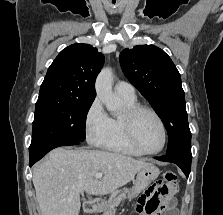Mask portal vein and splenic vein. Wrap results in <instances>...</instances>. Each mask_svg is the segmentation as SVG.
Wrapping results in <instances>:
<instances>
[{
	"mask_svg": "<svg viewBox=\"0 0 223 215\" xmlns=\"http://www.w3.org/2000/svg\"><path fill=\"white\" fill-rule=\"evenodd\" d=\"M103 173H96L95 177H102Z\"/></svg>",
	"mask_w": 223,
	"mask_h": 215,
	"instance_id": "1",
	"label": "portal vein and splenic vein"
}]
</instances>
